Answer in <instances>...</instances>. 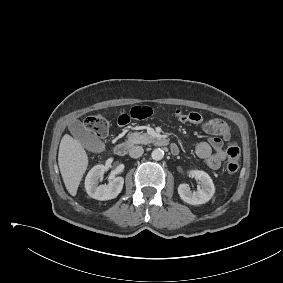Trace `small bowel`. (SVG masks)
Returning a JSON list of instances; mask_svg holds the SVG:
<instances>
[{
	"mask_svg": "<svg viewBox=\"0 0 283 283\" xmlns=\"http://www.w3.org/2000/svg\"><path fill=\"white\" fill-rule=\"evenodd\" d=\"M153 109L146 106H135L130 110L121 111L118 117V125L126 126L131 119H145L152 116ZM176 119L181 123H188L200 126L202 130L210 135L208 141L200 142L196 148V155L204 160L207 166L216 170L220 168L222 162L226 159V154L223 150V145L231 137L230 126L219 118L204 120L197 112L183 113L175 111Z\"/></svg>",
	"mask_w": 283,
	"mask_h": 283,
	"instance_id": "obj_1",
	"label": "small bowel"
}]
</instances>
